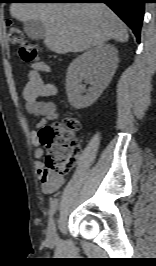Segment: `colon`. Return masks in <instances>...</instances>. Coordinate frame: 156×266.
<instances>
[{"mask_svg":"<svg viewBox=\"0 0 156 266\" xmlns=\"http://www.w3.org/2000/svg\"><path fill=\"white\" fill-rule=\"evenodd\" d=\"M7 28L9 40L19 46L22 60L25 62L38 60L39 47L25 39L19 26L8 22ZM78 128V120L68 116L60 123L45 126L40 131V141L47 151L45 164L48 172L63 175L75 166L81 151L76 135Z\"/></svg>","mask_w":156,"mask_h":266,"instance_id":"5ec220e1","label":"colon"}]
</instances>
